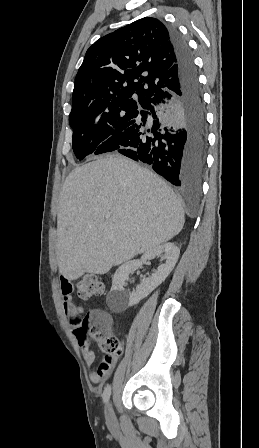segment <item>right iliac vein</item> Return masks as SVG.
Instances as JSON below:
<instances>
[{
	"label": "right iliac vein",
	"mask_w": 259,
	"mask_h": 448,
	"mask_svg": "<svg viewBox=\"0 0 259 448\" xmlns=\"http://www.w3.org/2000/svg\"><path fill=\"white\" fill-rule=\"evenodd\" d=\"M105 418L108 424L113 425L116 422L115 414L111 402L105 406Z\"/></svg>",
	"instance_id": "63e3f726"
}]
</instances>
